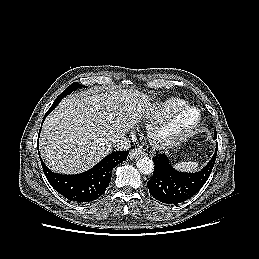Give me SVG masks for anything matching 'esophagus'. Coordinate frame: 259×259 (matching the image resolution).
Listing matches in <instances>:
<instances>
[{
  "instance_id": "1",
  "label": "esophagus",
  "mask_w": 259,
  "mask_h": 259,
  "mask_svg": "<svg viewBox=\"0 0 259 259\" xmlns=\"http://www.w3.org/2000/svg\"><path fill=\"white\" fill-rule=\"evenodd\" d=\"M142 155H144V150L141 147L134 148L129 153L130 159H136Z\"/></svg>"
}]
</instances>
